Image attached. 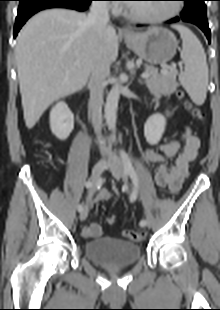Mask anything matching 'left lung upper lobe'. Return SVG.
<instances>
[{
    "label": "left lung upper lobe",
    "mask_w": 220,
    "mask_h": 310,
    "mask_svg": "<svg viewBox=\"0 0 220 310\" xmlns=\"http://www.w3.org/2000/svg\"><path fill=\"white\" fill-rule=\"evenodd\" d=\"M185 1L184 9L181 13L183 18H199L205 19L206 17V5L205 0H183Z\"/></svg>",
    "instance_id": "obj_1"
}]
</instances>
